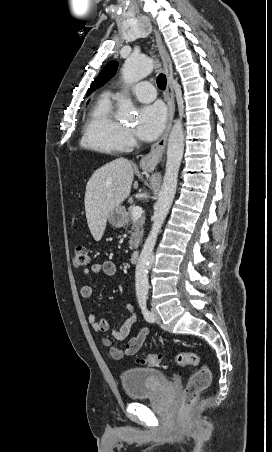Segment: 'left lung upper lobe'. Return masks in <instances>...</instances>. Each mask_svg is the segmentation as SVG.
<instances>
[{
    "mask_svg": "<svg viewBox=\"0 0 272 452\" xmlns=\"http://www.w3.org/2000/svg\"><path fill=\"white\" fill-rule=\"evenodd\" d=\"M117 65L118 64L116 61H110L108 64H106L98 77L92 82L87 95H89L96 88L104 85L110 78H112L117 70Z\"/></svg>",
    "mask_w": 272,
    "mask_h": 452,
    "instance_id": "obj_1",
    "label": "left lung upper lobe"
}]
</instances>
